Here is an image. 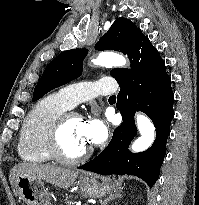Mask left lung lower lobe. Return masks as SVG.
<instances>
[{
	"mask_svg": "<svg viewBox=\"0 0 199 205\" xmlns=\"http://www.w3.org/2000/svg\"><path fill=\"white\" fill-rule=\"evenodd\" d=\"M131 69H120L115 78L120 91L116 107L123 123L114 130L109 145L98 157L79 169L101 175H134L152 187L159 177L166 153L170 124L174 117V93L171 78L157 49L142 32L135 38L128 53ZM136 111H142L153 121L156 139L144 152L131 153L128 146L137 134Z\"/></svg>",
	"mask_w": 199,
	"mask_h": 205,
	"instance_id": "1",
	"label": "left lung lower lobe"
}]
</instances>
